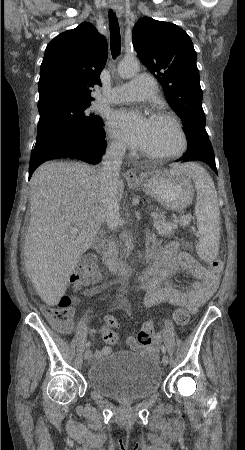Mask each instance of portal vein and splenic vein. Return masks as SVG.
Segmentation results:
<instances>
[{
	"label": "portal vein and splenic vein",
	"mask_w": 245,
	"mask_h": 450,
	"mask_svg": "<svg viewBox=\"0 0 245 450\" xmlns=\"http://www.w3.org/2000/svg\"><path fill=\"white\" fill-rule=\"evenodd\" d=\"M151 217H152L153 219H157V218H158V214L155 213V212H152V213H151ZM70 233H71L72 235H76V234L78 233V228H71V229H70Z\"/></svg>",
	"instance_id": "portal-vein-and-splenic-vein-1"
}]
</instances>
